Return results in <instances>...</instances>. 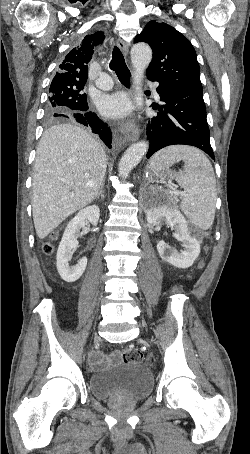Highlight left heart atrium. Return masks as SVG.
Returning a JSON list of instances; mask_svg holds the SVG:
<instances>
[{
	"label": "left heart atrium",
	"instance_id": "39dd6f15",
	"mask_svg": "<svg viewBox=\"0 0 250 454\" xmlns=\"http://www.w3.org/2000/svg\"><path fill=\"white\" fill-rule=\"evenodd\" d=\"M98 109L105 117L119 118L128 114L130 104L123 94L104 95L98 102Z\"/></svg>",
	"mask_w": 250,
	"mask_h": 454
}]
</instances>
